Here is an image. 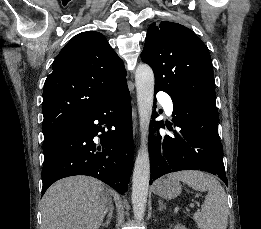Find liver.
<instances>
[{
    "mask_svg": "<svg viewBox=\"0 0 261 229\" xmlns=\"http://www.w3.org/2000/svg\"><path fill=\"white\" fill-rule=\"evenodd\" d=\"M111 203L107 187L98 179H61L42 197L41 229H99Z\"/></svg>",
    "mask_w": 261,
    "mask_h": 229,
    "instance_id": "6515ba94",
    "label": "liver"
}]
</instances>
